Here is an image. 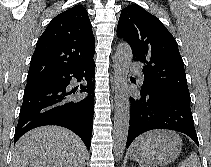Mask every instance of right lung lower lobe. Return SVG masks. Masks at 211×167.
Here are the masks:
<instances>
[{
    "instance_id": "obj_1",
    "label": "right lung lower lobe",
    "mask_w": 211,
    "mask_h": 167,
    "mask_svg": "<svg viewBox=\"0 0 211 167\" xmlns=\"http://www.w3.org/2000/svg\"><path fill=\"white\" fill-rule=\"evenodd\" d=\"M95 63L54 73L41 79L48 85L24 90L19 121L15 130L14 143L27 131L44 125H58L76 133L89 149L91 145L94 113ZM85 78L87 85L79 90L67 89L72 78ZM78 92H86L82 99H73Z\"/></svg>"
}]
</instances>
